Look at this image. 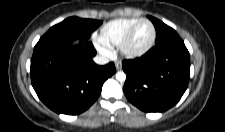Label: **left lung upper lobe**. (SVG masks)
<instances>
[{
  "instance_id": "5c2ea615",
  "label": "left lung upper lobe",
  "mask_w": 225,
  "mask_h": 132,
  "mask_svg": "<svg viewBox=\"0 0 225 132\" xmlns=\"http://www.w3.org/2000/svg\"><path fill=\"white\" fill-rule=\"evenodd\" d=\"M151 20V16H148ZM152 21V20H151ZM156 29V41L155 44H159L165 41H169L175 38H180L177 32L171 27L167 26L163 22L153 23Z\"/></svg>"
}]
</instances>
